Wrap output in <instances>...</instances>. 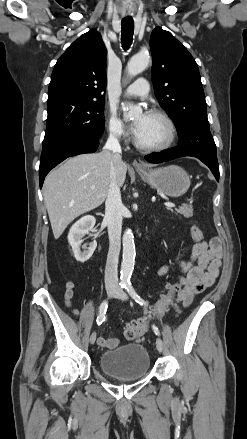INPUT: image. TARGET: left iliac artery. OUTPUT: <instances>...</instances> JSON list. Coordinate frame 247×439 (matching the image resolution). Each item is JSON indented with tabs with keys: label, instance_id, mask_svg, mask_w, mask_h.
<instances>
[{
	"label": "left iliac artery",
	"instance_id": "44dca946",
	"mask_svg": "<svg viewBox=\"0 0 247 439\" xmlns=\"http://www.w3.org/2000/svg\"><path fill=\"white\" fill-rule=\"evenodd\" d=\"M125 289L127 290V292L131 295V297L140 305L142 306H147V302L144 301L134 290V288L132 287L131 283H128L125 286ZM152 329L154 330L156 335H160V332L158 330V328L155 325H152Z\"/></svg>",
	"mask_w": 247,
	"mask_h": 439
}]
</instances>
